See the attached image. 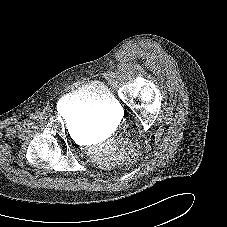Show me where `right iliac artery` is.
I'll list each match as a JSON object with an SVG mask.
<instances>
[{"label": "right iliac artery", "mask_w": 227, "mask_h": 227, "mask_svg": "<svg viewBox=\"0 0 227 227\" xmlns=\"http://www.w3.org/2000/svg\"><path fill=\"white\" fill-rule=\"evenodd\" d=\"M30 118H31V119H36V118H37V116H36V115H34V114H32V115L30 116Z\"/></svg>", "instance_id": "1"}]
</instances>
